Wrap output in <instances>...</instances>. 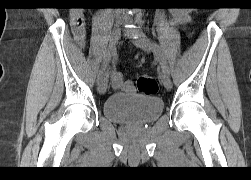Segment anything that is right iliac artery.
<instances>
[{"label":"right iliac artery","mask_w":251,"mask_h":180,"mask_svg":"<svg viewBox=\"0 0 251 180\" xmlns=\"http://www.w3.org/2000/svg\"><path fill=\"white\" fill-rule=\"evenodd\" d=\"M115 51H116V49H115ZM111 56H112L111 52L109 50H107L106 53L104 54L102 67H101L99 74H98V78H97L98 83L104 75L105 69L111 60Z\"/></svg>","instance_id":"obj_1"}]
</instances>
